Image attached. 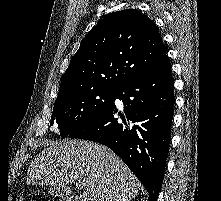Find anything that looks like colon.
<instances>
[{
    "label": "colon",
    "mask_w": 221,
    "mask_h": 201,
    "mask_svg": "<svg viewBox=\"0 0 221 201\" xmlns=\"http://www.w3.org/2000/svg\"><path fill=\"white\" fill-rule=\"evenodd\" d=\"M11 201H24V199L19 196V197H13V198L11 199Z\"/></svg>",
    "instance_id": "5ec220e1"
}]
</instances>
